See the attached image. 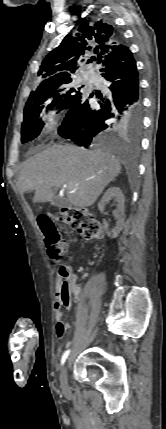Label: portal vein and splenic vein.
Masks as SVG:
<instances>
[{
  "label": "portal vein and splenic vein",
  "instance_id": "1",
  "mask_svg": "<svg viewBox=\"0 0 166 429\" xmlns=\"http://www.w3.org/2000/svg\"><path fill=\"white\" fill-rule=\"evenodd\" d=\"M64 187L69 188V189H71V188H72V186H71V185H69V184H65V185H64Z\"/></svg>",
  "mask_w": 166,
  "mask_h": 429
}]
</instances>
